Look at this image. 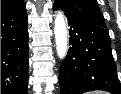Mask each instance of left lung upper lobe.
<instances>
[{"label":"left lung upper lobe","mask_w":121,"mask_h":94,"mask_svg":"<svg viewBox=\"0 0 121 94\" xmlns=\"http://www.w3.org/2000/svg\"><path fill=\"white\" fill-rule=\"evenodd\" d=\"M55 2L65 14L106 28L103 15L96 0H55Z\"/></svg>","instance_id":"1"}]
</instances>
